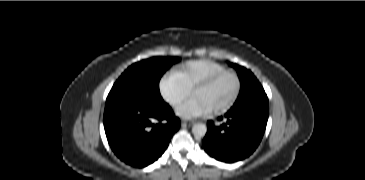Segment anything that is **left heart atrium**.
I'll return each instance as SVG.
<instances>
[{"instance_id":"1","label":"left heart atrium","mask_w":365,"mask_h":180,"mask_svg":"<svg viewBox=\"0 0 365 180\" xmlns=\"http://www.w3.org/2000/svg\"><path fill=\"white\" fill-rule=\"evenodd\" d=\"M186 111L191 114L201 115L207 112V109L198 102H193L188 105Z\"/></svg>"}]
</instances>
